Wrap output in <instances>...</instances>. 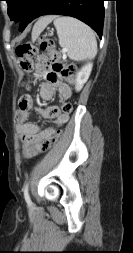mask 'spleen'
I'll return each instance as SVG.
<instances>
[{
	"label": "spleen",
	"instance_id": "obj_1",
	"mask_svg": "<svg viewBox=\"0 0 133 253\" xmlns=\"http://www.w3.org/2000/svg\"><path fill=\"white\" fill-rule=\"evenodd\" d=\"M59 45L75 61L91 60L97 53V42L93 30L73 17H57L54 20Z\"/></svg>",
	"mask_w": 133,
	"mask_h": 253
}]
</instances>
